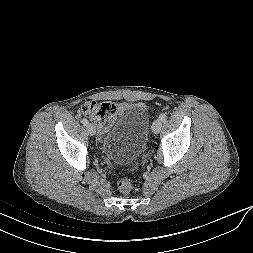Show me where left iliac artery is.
Returning a JSON list of instances; mask_svg holds the SVG:
<instances>
[{
    "instance_id": "left-iliac-artery-1",
    "label": "left iliac artery",
    "mask_w": 253,
    "mask_h": 253,
    "mask_svg": "<svg viewBox=\"0 0 253 253\" xmlns=\"http://www.w3.org/2000/svg\"><path fill=\"white\" fill-rule=\"evenodd\" d=\"M159 119L161 121H165L167 119V114L166 113H162L160 116H159Z\"/></svg>"
}]
</instances>
